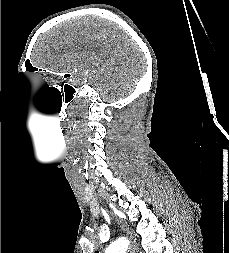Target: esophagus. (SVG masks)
<instances>
[{
    "label": "esophagus",
    "instance_id": "1",
    "mask_svg": "<svg viewBox=\"0 0 229 253\" xmlns=\"http://www.w3.org/2000/svg\"><path fill=\"white\" fill-rule=\"evenodd\" d=\"M117 223L120 226L122 231L127 232V235L130 239V247H129L130 253H137L135 241L133 240L132 235H130V233L128 232V229L126 228L125 224L122 221H119V220L117 221Z\"/></svg>",
    "mask_w": 229,
    "mask_h": 253
}]
</instances>
